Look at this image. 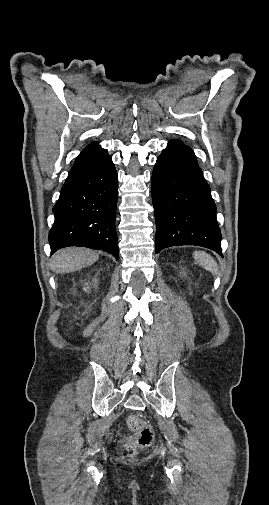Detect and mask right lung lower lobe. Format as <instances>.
<instances>
[{
  "mask_svg": "<svg viewBox=\"0 0 269 505\" xmlns=\"http://www.w3.org/2000/svg\"><path fill=\"white\" fill-rule=\"evenodd\" d=\"M117 191V173L107 151L98 145L84 150L76 158L53 207L51 253L67 246H83L104 250L119 259Z\"/></svg>",
  "mask_w": 269,
  "mask_h": 505,
  "instance_id": "obj_1",
  "label": "right lung lower lobe"
}]
</instances>
